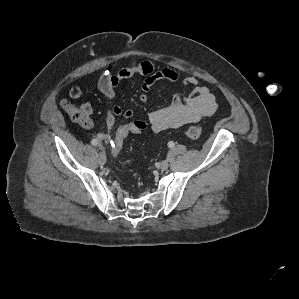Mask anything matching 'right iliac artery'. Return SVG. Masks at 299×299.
<instances>
[{
  "instance_id": "obj_1",
  "label": "right iliac artery",
  "mask_w": 299,
  "mask_h": 299,
  "mask_svg": "<svg viewBox=\"0 0 299 299\" xmlns=\"http://www.w3.org/2000/svg\"><path fill=\"white\" fill-rule=\"evenodd\" d=\"M91 144L94 145V146H96V145L98 144L97 139H93V140L91 141Z\"/></svg>"
}]
</instances>
